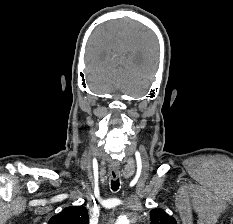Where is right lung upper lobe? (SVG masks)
<instances>
[{
    "instance_id": "obj_1",
    "label": "right lung upper lobe",
    "mask_w": 233,
    "mask_h": 224,
    "mask_svg": "<svg viewBox=\"0 0 233 224\" xmlns=\"http://www.w3.org/2000/svg\"><path fill=\"white\" fill-rule=\"evenodd\" d=\"M88 221L87 209L84 206H74L53 216L48 224H88Z\"/></svg>"
}]
</instances>
